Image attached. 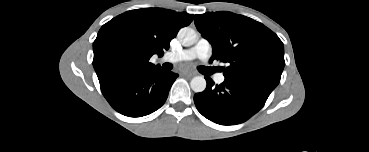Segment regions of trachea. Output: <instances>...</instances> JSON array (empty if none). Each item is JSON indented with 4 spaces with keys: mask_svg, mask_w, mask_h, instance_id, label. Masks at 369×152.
Listing matches in <instances>:
<instances>
[{
    "mask_svg": "<svg viewBox=\"0 0 369 152\" xmlns=\"http://www.w3.org/2000/svg\"><path fill=\"white\" fill-rule=\"evenodd\" d=\"M165 68L166 69H172V65L170 63H166ZM199 68H203V67H199Z\"/></svg>",
    "mask_w": 369,
    "mask_h": 152,
    "instance_id": "3493384b",
    "label": "trachea"
}]
</instances>
